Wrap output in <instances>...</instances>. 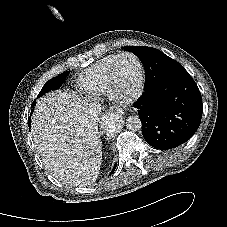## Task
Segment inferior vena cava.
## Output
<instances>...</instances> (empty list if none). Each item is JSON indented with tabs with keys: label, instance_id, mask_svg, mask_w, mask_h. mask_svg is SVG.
<instances>
[{
	"label": "inferior vena cava",
	"instance_id": "obj_1",
	"mask_svg": "<svg viewBox=\"0 0 227 227\" xmlns=\"http://www.w3.org/2000/svg\"><path fill=\"white\" fill-rule=\"evenodd\" d=\"M91 114L93 115V117L98 118V116L101 113V107L100 105H98L97 103H92L89 106Z\"/></svg>",
	"mask_w": 227,
	"mask_h": 227
}]
</instances>
